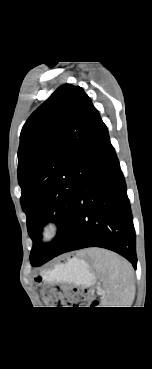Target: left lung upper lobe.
<instances>
[{
    "label": "left lung upper lobe",
    "mask_w": 152,
    "mask_h": 369,
    "mask_svg": "<svg viewBox=\"0 0 152 369\" xmlns=\"http://www.w3.org/2000/svg\"><path fill=\"white\" fill-rule=\"evenodd\" d=\"M99 118L81 87L64 84L23 126L18 181L21 206L33 240L32 266L55 256L73 223L83 159ZM50 221L58 224V234L51 243L43 244L41 231Z\"/></svg>",
    "instance_id": "1"
}]
</instances>
